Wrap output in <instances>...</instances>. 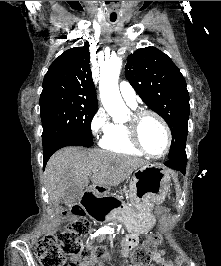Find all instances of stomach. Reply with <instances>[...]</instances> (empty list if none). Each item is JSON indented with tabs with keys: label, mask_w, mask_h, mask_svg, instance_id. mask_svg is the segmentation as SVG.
Returning a JSON list of instances; mask_svg holds the SVG:
<instances>
[{
	"label": "stomach",
	"mask_w": 221,
	"mask_h": 266,
	"mask_svg": "<svg viewBox=\"0 0 221 266\" xmlns=\"http://www.w3.org/2000/svg\"><path fill=\"white\" fill-rule=\"evenodd\" d=\"M170 180V172L161 164L148 163L137 168L128 189L130 207L120 217L136 229H149L155 222L153 208L165 200Z\"/></svg>",
	"instance_id": "obj_1"
}]
</instances>
